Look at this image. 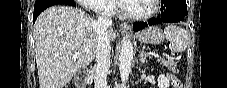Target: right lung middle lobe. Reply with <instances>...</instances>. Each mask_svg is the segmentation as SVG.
<instances>
[{"mask_svg":"<svg viewBox=\"0 0 227 88\" xmlns=\"http://www.w3.org/2000/svg\"><path fill=\"white\" fill-rule=\"evenodd\" d=\"M41 1H44V0H36L35 3H39ZM60 3L61 4L75 5V2L73 0H61Z\"/></svg>","mask_w":227,"mask_h":88,"instance_id":"1","label":"right lung middle lobe"}]
</instances>
